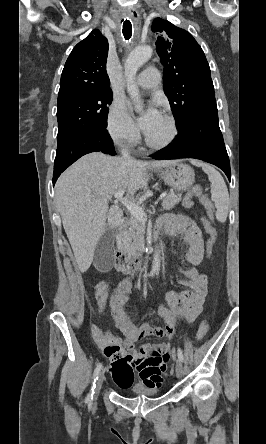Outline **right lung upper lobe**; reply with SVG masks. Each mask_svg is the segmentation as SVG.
Returning <instances> with one entry per match:
<instances>
[{
	"mask_svg": "<svg viewBox=\"0 0 266 444\" xmlns=\"http://www.w3.org/2000/svg\"><path fill=\"white\" fill-rule=\"evenodd\" d=\"M108 41L93 30L70 53L60 80L58 100L80 93L110 89L106 72Z\"/></svg>",
	"mask_w": 266,
	"mask_h": 444,
	"instance_id": "1",
	"label": "right lung upper lobe"
}]
</instances>
